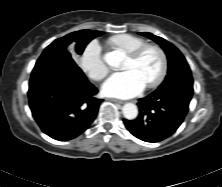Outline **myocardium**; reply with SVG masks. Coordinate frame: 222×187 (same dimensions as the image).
<instances>
[{
  "mask_svg": "<svg viewBox=\"0 0 222 187\" xmlns=\"http://www.w3.org/2000/svg\"><path fill=\"white\" fill-rule=\"evenodd\" d=\"M148 49H154L160 56L161 59V66L158 75L155 79L145 85V88H154L159 86L165 79L168 71V56L166 51L161 47L159 44L156 43H145L135 49L133 52L127 54V58L132 61H138L143 53Z\"/></svg>",
  "mask_w": 222,
  "mask_h": 187,
  "instance_id": "f54148a6",
  "label": "myocardium"
}]
</instances>
